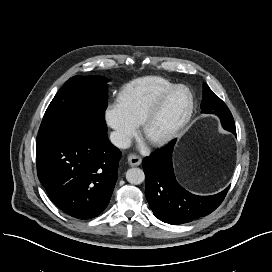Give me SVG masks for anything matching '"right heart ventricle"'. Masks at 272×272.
Listing matches in <instances>:
<instances>
[{
	"label": "right heart ventricle",
	"instance_id": "1",
	"mask_svg": "<svg viewBox=\"0 0 272 272\" xmlns=\"http://www.w3.org/2000/svg\"><path fill=\"white\" fill-rule=\"evenodd\" d=\"M173 84L157 76L143 77L130 82L118 96V103L129 120L136 126L142 124L150 108Z\"/></svg>",
	"mask_w": 272,
	"mask_h": 272
}]
</instances>
